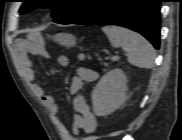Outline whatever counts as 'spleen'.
<instances>
[{
    "label": "spleen",
    "instance_id": "spleen-1",
    "mask_svg": "<svg viewBox=\"0 0 182 140\" xmlns=\"http://www.w3.org/2000/svg\"><path fill=\"white\" fill-rule=\"evenodd\" d=\"M102 30L113 47H121L126 52L131 65L146 69L153 67L155 50L143 36L119 26H104Z\"/></svg>",
    "mask_w": 182,
    "mask_h": 140
}]
</instances>
